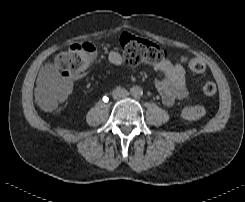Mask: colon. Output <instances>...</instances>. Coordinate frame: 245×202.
Instances as JSON below:
<instances>
[{
  "instance_id": "1",
  "label": "colon",
  "mask_w": 245,
  "mask_h": 202,
  "mask_svg": "<svg viewBox=\"0 0 245 202\" xmlns=\"http://www.w3.org/2000/svg\"><path fill=\"white\" fill-rule=\"evenodd\" d=\"M121 49L126 61L131 65L158 63L168 56L165 47L142 37L124 34L121 38ZM97 55V47L91 42H81L72 45L67 51L59 54L55 59V66L62 74V78L80 77L87 72ZM182 61L190 70L201 74L205 70V63L197 58L183 57ZM207 96L216 93L213 81H206L202 87ZM68 97V89L61 79L50 86H45L37 92L36 100L45 110H53ZM206 113L203 106H185L182 117L186 121H195Z\"/></svg>"
}]
</instances>
